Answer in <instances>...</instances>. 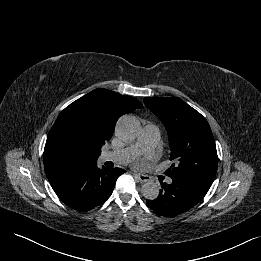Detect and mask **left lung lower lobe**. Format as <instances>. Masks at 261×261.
<instances>
[{"mask_svg":"<svg viewBox=\"0 0 261 261\" xmlns=\"http://www.w3.org/2000/svg\"><path fill=\"white\" fill-rule=\"evenodd\" d=\"M171 178V184L161 183L162 189L156 199L146 201L157 215L173 217L188 211L203 199L213 183L194 175Z\"/></svg>","mask_w":261,"mask_h":261,"instance_id":"0a47b994","label":"left lung lower lobe"}]
</instances>
